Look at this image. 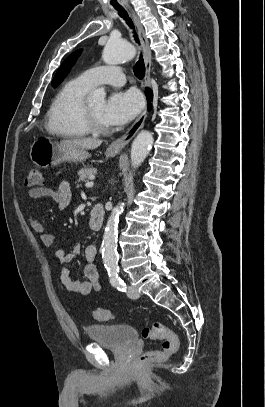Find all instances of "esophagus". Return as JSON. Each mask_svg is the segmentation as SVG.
Returning <instances> with one entry per match:
<instances>
[{
	"label": "esophagus",
	"instance_id": "obj_1",
	"mask_svg": "<svg viewBox=\"0 0 265 407\" xmlns=\"http://www.w3.org/2000/svg\"><path fill=\"white\" fill-rule=\"evenodd\" d=\"M132 16L136 23L138 33L141 39L143 53H144V65H145V77H144V85L145 87H151L150 83V71H151V50L149 47V41L146 37L145 30L135 15V13L131 10ZM148 108L146 107L143 112L139 115V117L135 120V122L128 128V130L117 140L112 142L109 146L110 150L113 151H120L122 150L139 132L140 129L143 128L145 124V120L147 117Z\"/></svg>",
	"mask_w": 265,
	"mask_h": 407
}]
</instances>
